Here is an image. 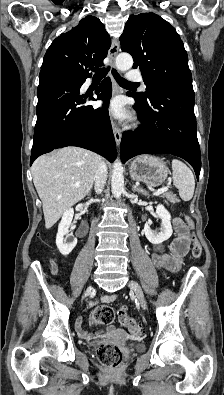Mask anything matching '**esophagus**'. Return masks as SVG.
I'll return each mask as SVG.
<instances>
[{"instance_id":"esophagus-1","label":"esophagus","mask_w":224,"mask_h":395,"mask_svg":"<svg viewBox=\"0 0 224 395\" xmlns=\"http://www.w3.org/2000/svg\"><path fill=\"white\" fill-rule=\"evenodd\" d=\"M119 51V42L117 39L113 38L112 39V44L109 50V64L111 66V68H115V58L118 54ZM118 93V87L117 84L115 83V81L113 80V94ZM111 125H112V129H113V134H114V138L115 141L117 143V145L119 146L121 143V138H122V134H121V129L119 128V126L116 124V122L111 118Z\"/></svg>"}]
</instances>
